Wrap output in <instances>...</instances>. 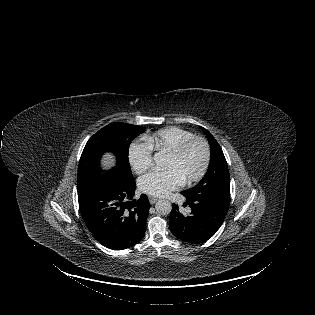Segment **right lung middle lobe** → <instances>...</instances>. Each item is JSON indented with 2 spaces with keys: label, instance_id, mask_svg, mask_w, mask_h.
I'll return each instance as SVG.
<instances>
[{
  "label": "right lung middle lobe",
  "instance_id": "obj_1",
  "mask_svg": "<svg viewBox=\"0 0 315 315\" xmlns=\"http://www.w3.org/2000/svg\"><path fill=\"white\" fill-rule=\"evenodd\" d=\"M145 131L144 127L127 123H110L96 132L86 143L80 157L77 182L96 177L99 160L104 152L116 157V166L106 175H117L134 180L129 164L128 152L131 141Z\"/></svg>",
  "mask_w": 315,
  "mask_h": 315
}]
</instances>
